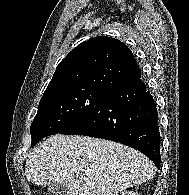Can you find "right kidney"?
<instances>
[{"label":"right kidney","mask_w":189,"mask_h":195,"mask_svg":"<svg viewBox=\"0 0 189 195\" xmlns=\"http://www.w3.org/2000/svg\"><path fill=\"white\" fill-rule=\"evenodd\" d=\"M121 195H138V193L133 191L123 192Z\"/></svg>","instance_id":"right-kidney-1"}]
</instances>
